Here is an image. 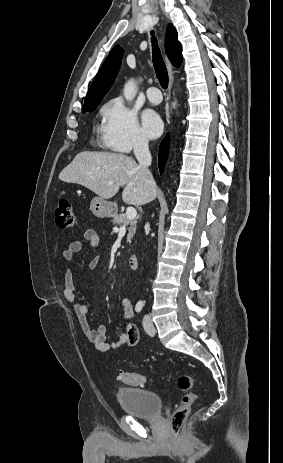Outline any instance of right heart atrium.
Here are the masks:
<instances>
[{
	"instance_id": "obj_1",
	"label": "right heart atrium",
	"mask_w": 283,
	"mask_h": 463,
	"mask_svg": "<svg viewBox=\"0 0 283 463\" xmlns=\"http://www.w3.org/2000/svg\"><path fill=\"white\" fill-rule=\"evenodd\" d=\"M101 135L106 146L120 152L148 147V140L139 127L136 112L121 99L111 100L105 105Z\"/></svg>"
}]
</instances>
